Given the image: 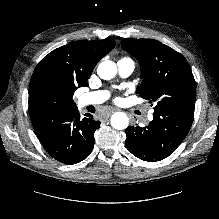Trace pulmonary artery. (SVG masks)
<instances>
[{
	"label": "pulmonary artery",
	"mask_w": 219,
	"mask_h": 219,
	"mask_svg": "<svg viewBox=\"0 0 219 219\" xmlns=\"http://www.w3.org/2000/svg\"><path fill=\"white\" fill-rule=\"evenodd\" d=\"M118 71L121 77H128L132 74L135 68L133 60L129 58L120 59L117 62ZM108 97V92L106 91H93L83 94L80 99V105L82 107L88 105H97L103 103ZM151 114H148L150 117Z\"/></svg>",
	"instance_id": "1"
}]
</instances>
